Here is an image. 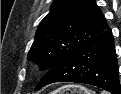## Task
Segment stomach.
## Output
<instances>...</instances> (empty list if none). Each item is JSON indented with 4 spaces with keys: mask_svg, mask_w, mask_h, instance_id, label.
<instances>
[{
    "mask_svg": "<svg viewBox=\"0 0 121 94\" xmlns=\"http://www.w3.org/2000/svg\"><path fill=\"white\" fill-rule=\"evenodd\" d=\"M51 94H92V91L80 85L70 84L58 88Z\"/></svg>",
    "mask_w": 121,
    "mask_h": 94,
    "instance_id": "obj_1",
    "label": "stomach"
}]
</instances>
